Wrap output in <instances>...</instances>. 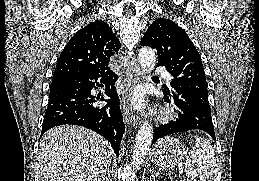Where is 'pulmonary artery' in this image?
Masks as SVG:
<instances>
[{
  "label": "pulmonary artery",
  "mask_w": 259,
  "mask_h": 181,
  "mask_svg": "<svg viewBox=\"0 0 259 181\" xmlns=\"http://www.w3.org/2000/svg\"><path fill=\"white\" fill-rule=\"evenodd\" d=\"M157 71L160 72L163 76V78L166 80V81H171L172 77L169 73H167L165 70H163L162 68H157Z\"/></svg>",
  "instance_id": "1"
}]
</instances>
